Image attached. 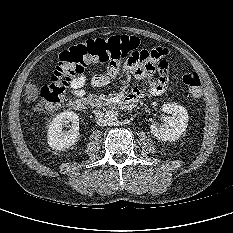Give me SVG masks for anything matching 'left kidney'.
Returning <instances> with one entry per match:
<instances>
[{
    "label": "left kidney",
    "mask_w": 233,
    "mask_h": 233,
    "mask_svg": "<svg viewBox=\"0 0 233 233\" xmlns=\"http://www.w3.org/2000/svg\"><path fill=\"white\" fill-rule=\"evenodd\" d=\"M162 111L171 116L163 117L164 124L160 126L152 124L150 131L160 140L175 141L187 128L189 120L187 110L176 103H166L162 105Z\"/></svg>",
    "instance_id": "obj_1"
}]
</instances>
